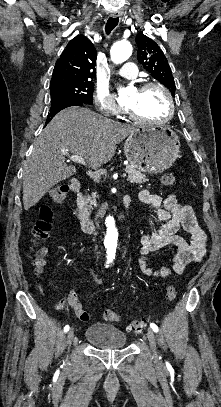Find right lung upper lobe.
<instances>
[{
	"label": "right lung upper lobe",
	"mask_w": 221,
	"mask_h": 407,
	"mask_svg": "<svg viewBox=\"0 0 221 407\" xmlns=\"http://www.w3.org/2000/svg\"><path fill=\"white\" fill-rule=\"evenodd\" d=\"M96 49L84 35L73 38L56 61L50 89L65 85L92 82L96 76Z\"/></svg>",
	"instance_id": "obj_1"
}]
</instances>
